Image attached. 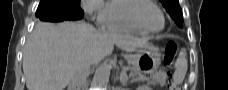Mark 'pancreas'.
Returning a JSON list of instances; mask_svg holds the SVG:
<instances>
[{
	"instance_id": "pancreas-1",
	"label": "pancreas",
	"mask_w": 228,
	"mask_h": 90,
	"mask_svg": "<svg viewBox=\"0 0 228 90\" xmlns=\"http://www.w3.org/2000/svg\"><path fill=\"white\" fill-rule=\"evenodd\" d=\"M142 76L138 77L141 78ZM145 77V76H144ZM136 79V78H135ZM143 80H147L148 84H160V85H164L166 83V80L164 77L162 76H157V75H152L150 78H146ZM135 81V80H134Z\"/></svg>"
}]
</instances>
